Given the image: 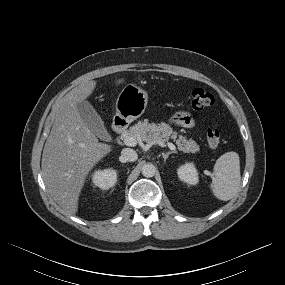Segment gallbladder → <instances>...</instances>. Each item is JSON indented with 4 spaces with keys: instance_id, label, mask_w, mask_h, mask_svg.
I'll list each match as a JSON object with an SVG mask.
<instances>
[{
    "instance_id": "gallbladder-1",
    "label": "gallbladder",
    "mask_w": 285,
    "mask_h": 285,
    "mask_svg": "<svg viewBox=\"0 0 285 285\" xmlns=\"http://www.w3.org/2000/svg\"><path fill=\"white\" fill-rule=\"evenodd\" d=\"M77 108L83 122L93 133L101 140L109 141L111 139L103 120L89 102L81 101L77 104Z\"/></svg>"
}]
</instances>
